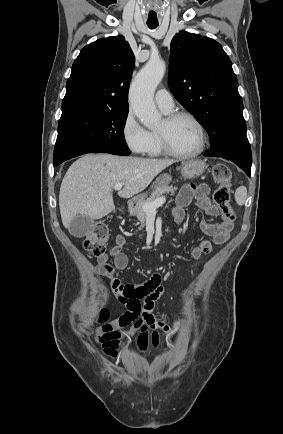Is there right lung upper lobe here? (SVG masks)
Segmentation results:
<instances>
[{"mask_svg":"<svg viewBox=\"0 0 283 434\" xmlns=\"http://www.w3.org/2000/svg\"><path fill=\"white\" fill-rule=\"evenodd\" d=\"M134 54L123 36L99 39L84 47L72 65L62 115L128 110Z\"/></svg>","mask_w":283,"mask_h":434,"instance_id":"obj_1","label":"right lung upper lobe"}]
</instances>
